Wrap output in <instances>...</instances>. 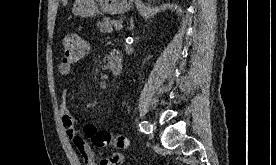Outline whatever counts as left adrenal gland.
<instances>
[{
  "mask_svg": "<svg viewBox=\"0 0 276 165\" xmlns=\"http://www.w3.org/2000/svg\"><path fill=\"white\" fill-rule=\"evenodd\" d=\"M134 29V22H133V18H131L130 20V30Z\"/></svg>",
  "mask_w": 276,
  "mask_h": 165,
  "instance_id": "left-adrenal-gland-1",
  "label": "left adrenal gland"
}]
</instances>
